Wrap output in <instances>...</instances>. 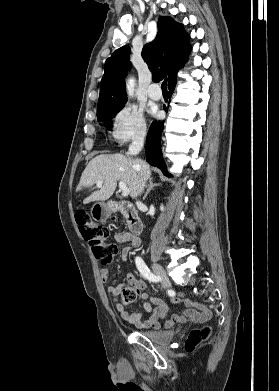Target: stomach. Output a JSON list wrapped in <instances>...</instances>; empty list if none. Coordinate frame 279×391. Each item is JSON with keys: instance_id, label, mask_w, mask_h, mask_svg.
Returning <instances> with one entry per match:
<instances>
[{"instance_id": "1", "label": "stomach", "mask_w": 279, "mask_h": 391, "mask_svg": "<svg viewBox=\"0 0 279 391\" xmlns=\"http://www.w3.org/2000/svg\"><path fill=\"white\" fill-rule=\"evenodd\" d=\"M111 214V207L109 204L96 203L91 209L92 218L96 221H104Z\"/></svg>"}]
</instances>
